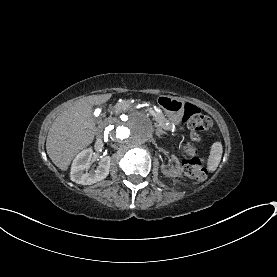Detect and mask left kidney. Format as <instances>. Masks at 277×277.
Returning <instances> with one entry per match:
<instances>
[{"mask_svg": "<svg viewBox=\"0 0 277 277\" xmlns=\"http://www.w3.org/2000/svg\"><path fill=\"white\" fill-rule=\"evenodd\" d=\"M172 158L176 162V166L167 170L164 168V165H161V171L167 177H178L181 175L180 162L176 156L173 155Z\"/></svg>", "mask_w": 277, "mask_h": 277, "instance_id": "1", "label": "left kidney"}]
</instances>
